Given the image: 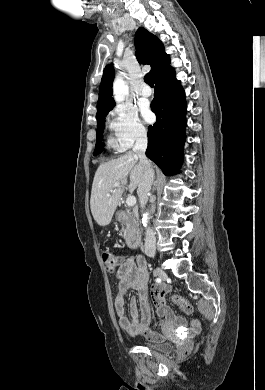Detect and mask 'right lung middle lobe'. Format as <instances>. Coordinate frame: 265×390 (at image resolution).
Masks as SVG:
<instances>
[{
	"instance_id": "1",
	"label": "right lung middle lobe",
	"mask_w": 265,
	"mask_h": 390,
	"mask_svg": "<svg viewBox=\"0 0 265 390\" xmlns=\"http://www.w3.org/2000/svg\"><path fill=\"white\" fill-rule=\"evenodd\" d=\"M107 113L97 118V139H96L94 155L101 153V151L104 149V144L102 143V135L104 130L105 117Z\"/></svg>"
}]
</instances>
